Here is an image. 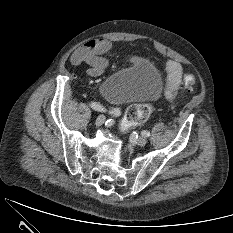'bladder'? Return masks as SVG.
Instances as JSON below:
<instances>
[{
  "mask_svg": "<svg viewBox=\"0 0 233 233\" xmlns=\"http://www.w3.org/2000/svg\"><path fill=\"white\" fill-rule=\"evenodd\" d=\"M162 77L152 62L135 57L131 63L112 73L100 85L101 95L114 104L157 99L162 91Z\"/></svg>",
  "mask_w": 233,
  "mask_h": 233,
  "instance_id": "31cf9c89",
  "label": "bladder"
}]
</instances>
